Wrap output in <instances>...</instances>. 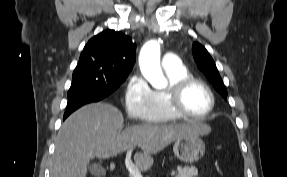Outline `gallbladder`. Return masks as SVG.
<instances>
[{"label":"gallbladder","instance_id":"obj_1","mask_svg":"<svg viewBox=\"0 0 287 177\" xmlns=\"http://www.w3.org/2000/svg\"><path fill=\"white\" fill-rule=\"evenodd\" d=\"M89 171L93 176H100L105 173V169L101 165L96 163L90 166Z\"/></svg>","mask_w":287,"mask_h":177}]
</instances>
